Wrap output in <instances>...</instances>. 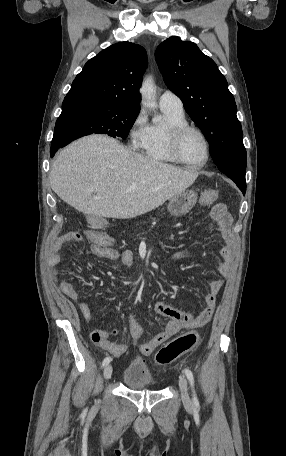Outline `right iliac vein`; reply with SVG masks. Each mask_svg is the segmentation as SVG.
I'll return each instance as SVG.
<instances>
[{
  "label": "right iliac vein",
  "instance_id": "63e3f726",
  "mask_svg": "<svg viewBox=\"0 0 286 456\" xmlns=\"http://www.w3.org/2000/svg\"><path fill=\"white\" fill-rule=\"evenodd\" d=\"M112 372H113L112 365H106V367L104 368V371H103L104 379L108 380L111 377Z\"/></svg>",
  "mask_w": 286,
  "mask_h": 456
}]
</instances>
